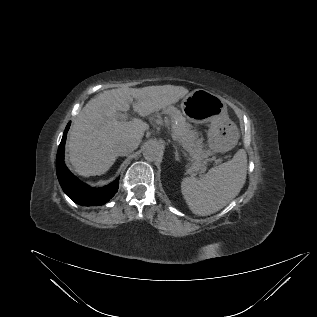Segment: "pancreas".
<instances>
[{
	"mask_svg": "<svg viewBox=\"0 0 317 317\" xmlns=\"http://www.w3.org/2000/svg\"><path fill=\"white\" fill-rule=\"evenodd\" d=\"M163 113L170 116L172 136L188 152L194 170H204L205 158L210 155V151L204 149L202 139L198 137L196 130L177 108L169 106L163 110ZM159 116L160 114L157 113L156 117Z\"/></svg>",
	"mask_w": 317,
	"mask_h": 317,
	"instance_id": "pancreas-1",
	"label": "pancreas"
}]
</instances>
